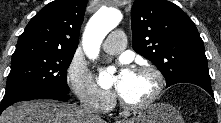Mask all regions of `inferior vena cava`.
I'll list each match as a JSON object with an SVG mask.
<instances>
[{
	"label": "inferior vena cava",
	"instance_id": "1",
	"mask_svg": "<svg viewBox=\"0 0 221 123\" xmlns=\"http://www.w3.org/2000/svg\"><path fill=\"white\" fill-rule=\"evenodd\" d=\"M81 110L84 112L85 116L96 119L99 118L97 112L88 104L81 105Z\"/></svg>",
	"mask_w": 221,
	"mask_h": 123
}]
</instances>
